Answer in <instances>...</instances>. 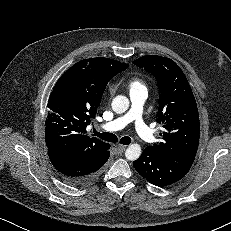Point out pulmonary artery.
<instances>
[{
	"mask_svg": "<svg viewBox=\"0 0 231 231\" xmlns=\"http://www.w3.org/2000/svg\"><path fill=\"white\" fill-rule=\"evenodd\" d=\"M148 97L147 90L130 93L131 106L127 113L103 125L105 131L114 132L125 128L134 122L139 137L145 141L155 140L154 131L142 119L143 106Z\"/></svg>",
	"mask_w": 231,
	"mask_h": 231,
	"instance_id": "obj_1",
	"label": "pulmonary artery"
}]
</instances>
